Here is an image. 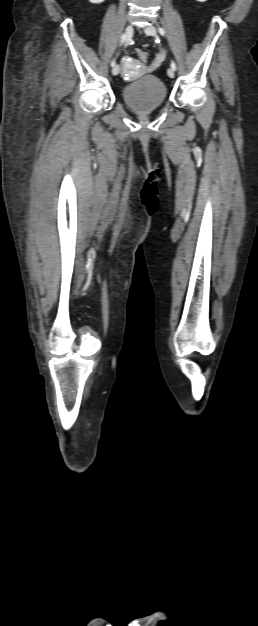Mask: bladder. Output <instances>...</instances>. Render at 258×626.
Returning a JSON list of instances; mask_svg holds the SVG:
<instances>
[{"label": "bladder", "instance_id": "bladder-1", "mask_svg": "<svg viewBox=\"0 0 258 626\" xmlns=\"http://www.w3.org/2000/svg\"><path fill=\"white\" fill-rule=\"evenodd\" d=\"M167 95L164 83L155 76L145 75L122 88L121 96L127 107L136 112H148L161 106Z\"/></svg>", "mask_w": 258, "mask_h": 626}]
</instances>
